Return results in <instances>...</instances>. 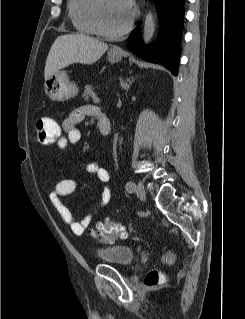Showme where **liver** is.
<instances>
[{
  "mask_svg": "<svg viewBox=\"0 0 245 319\" xmlns=\"http://www.w3.org/2000/svg\"><path fill=\"white\" fill-rule=\"evenodd\" d=\"M108 45L84 34H64L49 51L44 78L74 63L93 64L107 51Z\"/></svg>",
  "mask_w": 245,
  "mask_h": 319,
  "instance_id": "6515ba94",
  "label": "liver"
}]
</instances>
